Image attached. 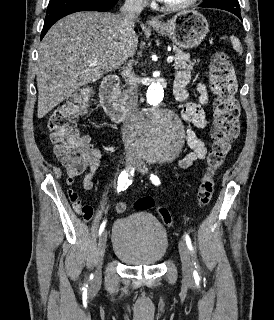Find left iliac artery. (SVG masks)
I'll return each instance as SVG.
<instances>
[{"mask_svg": "<svg viewBox=\"0 0 274 320\" xmlns=\"http://www.w3.org/2000/svg\"><path fill=\"white\" fill-rule=\"evenodd\" d=\"M150 180L152 181V183H153L154 185H159V184H160L159 178H158L156 175H154V174H151V175H150ZM185 240H186V244H187L189 250H190V251H193L191 239H190V237H189L188 234H185ZM193 275H194V278H195V279H198V278H199L198 272H197L196 270L194 271Z\"/></svg>", "mask_w": 274, "mask_h": 320, "instance_id": "1", "label": "left iliac artery"}]
</instances>
